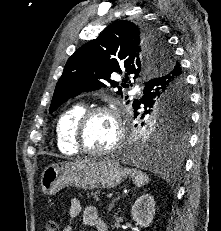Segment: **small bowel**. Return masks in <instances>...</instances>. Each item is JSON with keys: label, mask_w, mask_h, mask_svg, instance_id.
I'll use <instances>...</instances> for the list:
<instances>
[{"label": "small bowel", "mask_w": 221, "mask_h": 231, "mask_svg": "<svg viewBox=\"0 0 221 231\" xmlns=\"http://www.w3.org/2000/svg\"><path fill=\"white\" fill-rule=\"evenodd\" d=\"M82 211L81 202L77 198H73L69 203L68 214L70 223L64 227L62 231H74L73 224ZM83 222L85 225L94 228L96 231H108L107 225L98 215V211L94 206H88L83 214Z\"/></svg>", "instance_id": "c3829d8e"}]
</instances>
